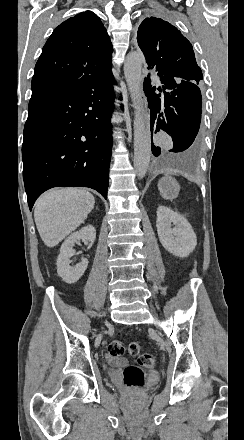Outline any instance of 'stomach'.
Masks as SVG:
<instances>
[{
  "mask_svg": "<svg viewBox=\"0 0 244 440\" xmlns=\"http://www.w3.org/2000/svg\"><path fill=\"white\" fill-rule=\"evenodd\" d=\"M158 190L160 192V196L165 198V200H174L177 198L180 192V186L172 176H164L159 180Z\"/></svg>",
  "mask_w": 244,
  "mask_h": 440,
  "instance_id": "1",
  "label": "stomach"
}]
</instances>
